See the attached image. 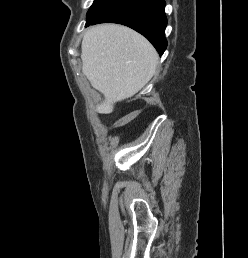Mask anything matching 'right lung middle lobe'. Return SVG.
Segmentation results:
<instances>
[{
	"instance_id": "obj_1",
	"label": "right lung middle lobe",
	"mask_w": 248,
	"mask_h": 258,
	"mask_svg": "<svg viewBox=\"0 0 248 258\" xmlns=\"http://www.w3.org/2000/svg\"><path fill=\"white\" fill-rule=\"evenodd\" d=\"M118 0H95L87 13V21L94 20Z\"/></svg>"
}]
</instances>
